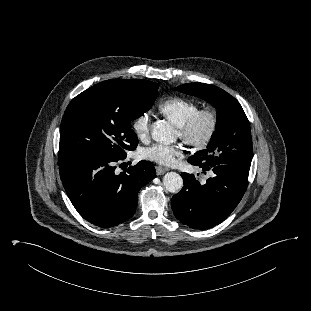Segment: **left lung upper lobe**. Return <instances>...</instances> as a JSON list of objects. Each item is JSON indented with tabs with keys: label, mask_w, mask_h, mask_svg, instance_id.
I'll list each match as a JSON object with an SVG mask.
<instances>
[{
	"label": "left lung upper lobe",
	"mask_w": 311,
	"mask_h": 311,
	"mask_svg": "<svg viewBox=\"0 0 311 311\" xmlns=\"http://www.w3.org/2000/svg\"><path fill=\"white\" fill-rule=\"evenodd\" d=\"M176 90L204 99L217 108L216 130L207 149L189 157L188 162L198 166L237 165L250 168V124L239 102L223 89L205 83L183 84Z\"/></svg>",
	"instance_id": "obj_1"
}]
</instances>
